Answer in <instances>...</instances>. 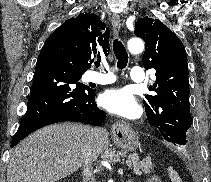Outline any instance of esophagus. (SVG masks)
Here are the masks:
<instances>
[{"mask_svg": "<svg viewBox=\"0 0 211 182\" xmlns=\"http://www.w3.org/2000/svg\"><path fill=\"white\" fill-rule=\"evenodd\" d=\"M112 27L115 33H118L121 28V19L119 15L114 14L111 19ZM125 128V125L121 122H116L112 125L113 130H122Z\"/></svg>", "mask_w": 211, "mask_h": 182, "instance_id": "34e87169", "label": "esophagus"}]
</instances>
